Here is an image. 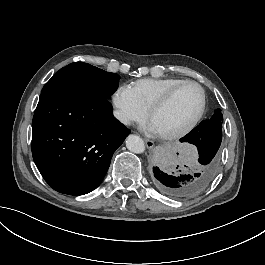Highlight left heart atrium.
<instances>
[{
	"mask_svg": "<svg viewBox=\"0 0 265 265\" xmlns=\"http://www.w3.org/2000/svg\"><path fill=\"white\" fill-rule=\"evenodd\" d=\"M147 129L148 131H150L151 133L155 134V135H158V132L156 130V128L154 127L153 124L149 123L148 126H147Z\"/></svg>",
	"mask_w": 265,
	"mask_h": 265,
	"instance_id": "obj_1",
	"label": "left heart atrium"
}]
</instances>
